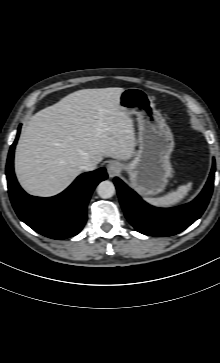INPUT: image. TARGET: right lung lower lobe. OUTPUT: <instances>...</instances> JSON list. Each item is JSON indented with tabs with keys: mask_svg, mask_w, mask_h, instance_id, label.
<instances>
[{
	"mask_svg": "<svg viewBox=\"0 0 220 363\" xmlns=\"http://www.w3.org/2000/svg\"><path fill=\"white\" fill-rule=\"evenodd\" d=\"M19 132L20 126L6 165L8 192L18 217L34 231L52 239H66L78 234L86 223L87 204L94 188L107 178L105 168L80 175L65 191L54 197L30 196L19 186L13 171Z\"/></svg>",
	"mask_w": 220,
	"mask_h": 363,
	"instance_id": "1",
	"label": "right lung lower lobe"
}]
</instances>
